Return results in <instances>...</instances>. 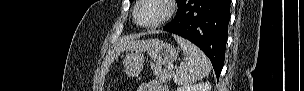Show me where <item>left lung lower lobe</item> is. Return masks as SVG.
Segmentation results:
<instances>
[{"label": "left lung lower lobe", "instance_id": "0a47b994", "mask_svg": "<svg viewBox=\"0 0 304 91\" xmlns=\"http://www.w3.org/2000/svg\"><path fill=\"white\" fill-rule=\"evenodd\" d=\"M230 0H180L176 17L163 30L197 45L210 59L216 77L224 65Z\"/></svg>", "mask_w": 304, "mask_h": 91}]
</instances>
